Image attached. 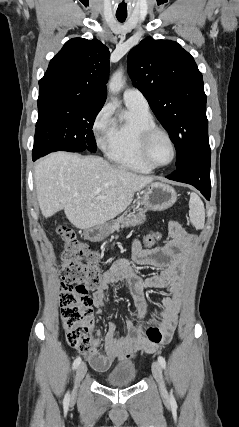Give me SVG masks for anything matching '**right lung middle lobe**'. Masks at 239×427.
<instances>
[{
	"label": "right lung middle lobe",
	"instance_id": "obj_1",
	"mask_svg": "<svg viewBox=\"0 0 239 427\" xmlns=\"http://www.w3.org/2000/svg\"><path fill=\"white\" fill-rule=\"evenodd\" d=\"M103 106L66 100H38L32 157L53 151L96 152L92 127Z\"/></svg>",
	"mask_w": 239,
	"mask_h": 427
}]
</instances>
